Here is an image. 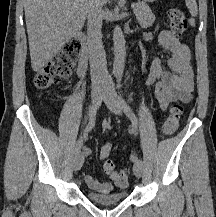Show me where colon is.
Instances as JSON below:
<instances>
[{
    "label": "colon",
    "mask_w": 216,
    "mask_h": 217,
    "mask_svg": "<svg viewBox=\"0 0 216 217\" xmlns=\"http://www.w3.org/2000/svg\"><path fill=\"white\" fill-rule=\"evenodd\" d=\"M168 22L173 34L177 37H182L187 28V21L183 11L179 8L171 9L168 12ZM80 49L81 45L77 40L68 42L64 48L36 74L34 78L35 87L38 90H46L57 82L68 78L74 70ZM181 114L182 106L179 103H175L163 123V136H170L176 131ZM111 128V119H106L102 122V130L104 132L110 131ZM103 167L105 171L110 173L117 186H125L127 184L126 170H115L111 160H107Z\"/></svg>",
    "instance_id": "5ec220e1"
}]
</instances>
